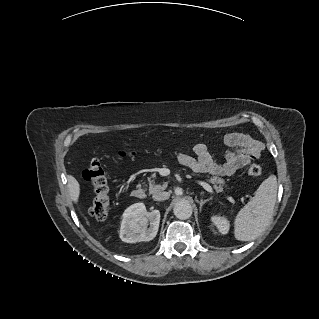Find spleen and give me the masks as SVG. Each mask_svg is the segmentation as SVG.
<instances>
[{
  "label": "spleen",
  "instance_id": "1",
  "mask_svg": "<svg viewBox=\"0 0 319 319\" xmlns=\"http://www.w3.org/2000/svg\"><path fill=\"white\" fill-rule=\"evenodd\" d=\"M278 192L277 178L270 175L254 197L238 212L234 220V236L240 241H252L269 225Z\"/></svg>",
  "mask_w": 319,
  "mask_h": 319
}]
</instances>
